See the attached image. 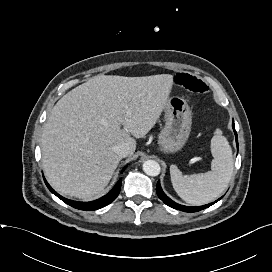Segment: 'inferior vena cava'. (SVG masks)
I'll use <instances>...</instances> for the list:
<instances>
[{"label": "inferior vena cava", "mask_w": 272, "mask_h": 272, "mask_svg": "<svg viewBox=\"0 0 272 272\" xmlns=\"http://www.w3.org/2000/svg\"><path fill=\"white\" fill-rule=\"evenodd\" d=\"M113 151L120 157L124 158L127 157L130 154V149L128 144L126 143H120L116 146H114Z\"/></svg>", "instance_id": "inferior-vena-cava-1"}]
</instances>
